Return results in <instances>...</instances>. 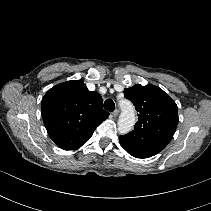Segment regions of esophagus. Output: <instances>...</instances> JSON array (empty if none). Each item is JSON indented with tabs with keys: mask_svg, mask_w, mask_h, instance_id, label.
<instances>
[{
	"mask_svg": "<svg viewBox=\"0 0 211 211\" xmlns=\"http://www.w3.org/2000/svg\"><path fill=\"white\" fill-rule=\"evenodd\" d=\"M118 114H119V110L118 109H115L113 112H112V117L113 118H116L117 116H118Z\"/></svg>",
	"mask_w": 211,
	"mask_h": 211,
	"instance_id": "34e87169",
	"label": "esophagus"
}]
</instances>
